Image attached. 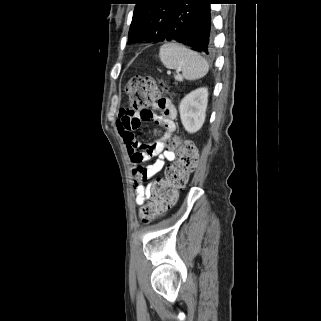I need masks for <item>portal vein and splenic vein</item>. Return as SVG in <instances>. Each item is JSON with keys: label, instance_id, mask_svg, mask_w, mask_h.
Returning a JSON list of instances; mask_svg holds the SVG:
<instances>
[{"label": "portal vein and splenic vein", "instance_id": "1", "mask_svg": "<svg viewBox=\"0 0 321 321\" xmlns=\"http://www.w3.org/2000/svg\"><path fill=\"white\" fill-rule=\"evenodd\" d=\"M167 73H168V74H170V73H171V71H168Z\"/></svg>", "mask_w": 321, "mask_h": 321}]
</instances>
